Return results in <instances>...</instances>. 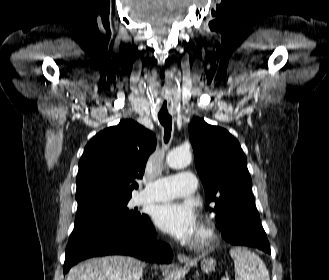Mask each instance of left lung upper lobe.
<instances>
[{
  "mask_svg": "<svg viewBox=\"0 0 329 280\" xmlns=\"http://www.w3.org/2000/svg\"><path fill=\"white\" fill-rule=\"evenodd\" d=\"M195 165L205 190V200L214 207L218 227L251 199V177L239 142L225 129L195 118L189 125Z\"/></svg>",
  "mask_w": 329,
  "mask_h": 280,
  "instance_id": "5c2ea615",
  "label": "left lung upper lobe"
}]
</instances>
